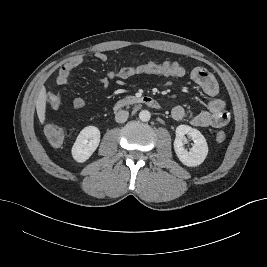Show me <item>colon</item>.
<instances>
[{"instance_id": "colon-1", "label": "colon", "mask_w": 267, "mask_h": 267, "mask_svg": "<svg viewBox=\"0 0 267 267\" xmlns=\"http://www.w3.org/2000/svg\"><path fill=\"white\" fill-rule=\"evenodd\" d=\"M185 73V68L178 62H147L128 67H123L119 70L120 79H130L143 74L151 75H164V76H182ZM44 133L48 141L55 146L63 143L66 135V129L56 123H47L44 127ZM226 139V134L223 131H219L216 135L218 142H223Z\"/></svg>"}]
</instances>
